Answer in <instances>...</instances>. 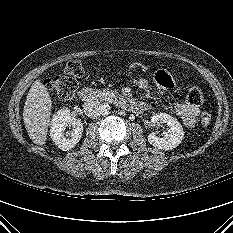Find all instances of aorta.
<instances>
[{
	"mask_svg": "<svg viewBox=\"0 0 233 233\" xmlns=\"http://www.w3.org/2000/svg\"><path fill=\"white\" fill-rule=\"evenodd\" d=\"M110 105L109 104H103V109H102V115H107L110 112Z\"/></svg>",
	"mask_w": 233,
	"mask_h": 233,
	"instance_id": "obj_1",
	"label": "aorta"
}]
</instances>
